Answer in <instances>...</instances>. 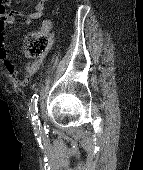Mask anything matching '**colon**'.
<instances>
[{
    "mask_svg": "<svg viewBox=\"0 0 143 170\" xmlns=\"http://www.w3.org/2000/svg\"><path fill=\"white\" fill-rule=\"evenodd\" d=\"M9 0H0V21L8 15ZM51 37L46 33H32L25 40V54L31 58H39L46 54L51 46Z\"/></svg>",
    "mask_w": 143,
    "mask_h": 170,
    "instance_id": "obj_1",
    "label": "colon"
}]
</instances>
